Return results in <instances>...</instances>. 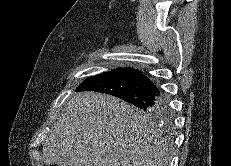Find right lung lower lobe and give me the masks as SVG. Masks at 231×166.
I'll use <instances>...</instances> for the list:
<instances>
[{
	"label": "right lung lower lobe",
	"instance_id": "right-lung-lower-lobe-1",
	"mask_svg": "<svg viewBox=\"0 0 231 166\" xmlns=\"http://www.w3.org/2000/svg\"><path fill=\"white\" fill-rule=\"evenodd\" d=\"M78 91H97L121 98L138 108L157 113L161 122L170 129L173 118L167 99L158 88L140 71L117 68L112 71L87 78L77 88Z\"/></svg>",
	"mask_w": 231,
	"mask_h": 166
}]
</instances>
